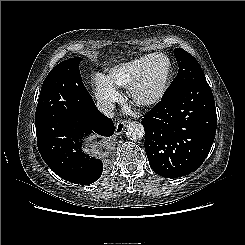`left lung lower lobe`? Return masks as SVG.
Listing matches in <instances>:
<instances>
[{"mask_svg": "<svg viewBox=\"0 0 245 245\" xmlns=\"http://www.w3.org/2000/svg\"><path fill=\"white\" fill-rule=\"evenodd\" d=\"M141 122L155 173L178 178L194 172L210 152L216 133L215 101L207 81L165 93Z\"/></svg>", "mask_w": 245, "mask_h": 245, "instance_id": "left-lung-lower-lobe-1", "label": "left lung lower lobe"}]
</instances>
